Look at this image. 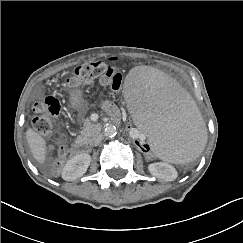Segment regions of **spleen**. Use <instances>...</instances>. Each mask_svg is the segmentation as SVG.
Listing matches in <instances>:
<instances>
[{"mask_svg": "<svg viewBox=\"0 0 243 243\" xmlns=\"http://www.w3.org/2000/svg\"><path fill=\"white\" fill-rule=\"evenodd\" d=\"M123 91L138 127L165 160L196 158L207 142L205 123L186 91L155 68L131 71Z\"/></svg>", "mask_w": 243, "mask_h": 243, "instance_id": "3e777b00", "label": "spleen"}]
</instances>
